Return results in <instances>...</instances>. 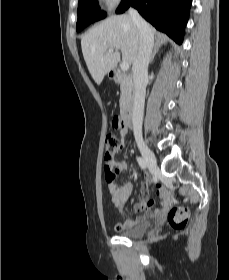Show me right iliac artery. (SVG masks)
Returning <instances> with one entry per match:
<instances>
[{"label":"right iliac artery","instance_id":"right-iliac-artery-1","mask_svg":"<svg viewBox=\"0 0 229 280\" xmlns=\"http://www.w3.org/2000/svg\"><path fill=\"white\" fill-rule=\"evenodd\" d=\"M137 162H138L139 166L141 167V169L146 170L147 164L144 159H142L141 157H137Z\"/></svg>","mask_w":229,"mask_h":280}]
</instances>
